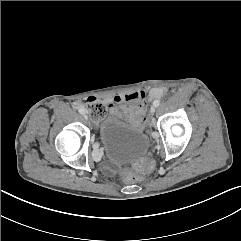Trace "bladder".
<instances>
[{"label":"bladder","mask_w":241,"mask_h":241,"mask_svg":"<svg viewBox=\"0 0 241 241\" xmlns=\"http://www.w3.org/2000/svg\"><path fill=\"white\" fill-rule=\"evenodd\" d=\"M100 135L105 154L112 162L134 161L149 150V139L144 131L123 121L116 113L104 117L100 124Z\"/></svg>","instance_id":"31cf9c89"}]
</instances>
